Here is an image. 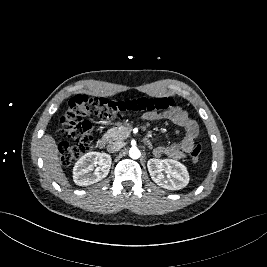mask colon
Instances as JSON below:
<instances>
[{"label":"colon","instance_id":"colon-1","mask_svg":"<svg viewBox=\"0 0 267 267\" xmlns=\"http://www.w3.org/2000/svg\"><path fill=\"white\" fill-rule=\"evenodd\" d=\"M177 107L179 104L168 97L115 101L103 97L76 95L67 101L60 119L61 132L68 140L59 145L60 162L63 166H70L89 151L93 140V126L89 120L92 115L101 119H116L131 115L150 117L165 114ZM201 153V145L194 146L190 153L191 160L198 162Z\"/></svg>","mask_w":267,"mask_h":267}]
</instances>
